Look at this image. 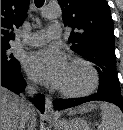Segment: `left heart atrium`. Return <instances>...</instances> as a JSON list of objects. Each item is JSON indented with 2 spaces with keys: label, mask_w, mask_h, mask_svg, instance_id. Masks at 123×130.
<instances>
[{
  "label": "left heart atrium",
  "mask_w": 123,
  "mask_h": 130,
  "mask_svg": "<svg viewBox=\"0 0 123 130\" xmlns=\"http://www.w3.org/2000/svg\"><path fill=\"white\" fill-rule=\"evenodd\" d=\"M67 65L65 55L55 46L34 51L25 59V68L31 78L55 86H58Z\"/></svg>",
  "instance_id": "obj_1"
}]
</instances>
